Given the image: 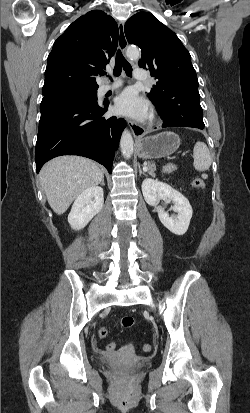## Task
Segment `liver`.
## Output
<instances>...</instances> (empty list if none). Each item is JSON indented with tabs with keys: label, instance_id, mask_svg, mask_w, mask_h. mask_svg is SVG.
Returning a JSON list of instances; mask_svg holds the SVG:
<instances>
[{
	"label": "liver",
	"instance_id": "liver-1",
	"mask_svg": "<svg viewBox=\"0 0 250 413\" xmlns=\"http://www.w3.org/2000/svg\"><path fill=\"white\" fill-rule=\"evenodd\" d=\"M104 178L98 165L80 156H61L47 162L39 179L48 203L61 215L86 189L97 186Z\"/></svg>",
	"mask_w": 250,
	"mask_h": 413
}]
</instances>
